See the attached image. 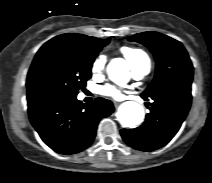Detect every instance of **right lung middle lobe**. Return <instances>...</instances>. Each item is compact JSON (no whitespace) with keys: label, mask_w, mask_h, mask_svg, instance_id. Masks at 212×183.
Listing matches in <instances>:
<instances>
[{"label":"right lung middle lobe","mask_w":212,"mask_h":183,"mask_svg":"<svg viewBox=\"0 0 212 183\" xmlns=\"http://www.w3.org/2000/svg\"><path fill=\"white\" fill-rule=\"evenodd\" d=\"M110 39L92 46L50 40L37 52L27 77V94L60 92L77 95L91 78L92 64Z\"/></svg>","instance_id":"obj_1"}]
</instances>
